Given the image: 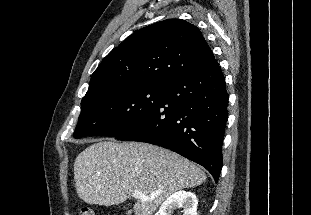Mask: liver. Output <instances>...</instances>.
Segmentation results:
<instances>
[{
  "label": "liver",
  "mask_w": 311,
  "mask_h": 215,
  "mask_svg": "<svg viewBox=\"0 0 311 215\" xmlns=\"http://www.w3.org/2000/svg\"><path fill=\"white\" fill-rule=\"evenodd\" d=\"M205 173L193 162L158 146L98 140L74 162L78 197L87 204L118 205L139 190L135 215H152L174 192L201 185Z\"/></svg>",
  "instance_id": "obj_1"
}]
</instances>
